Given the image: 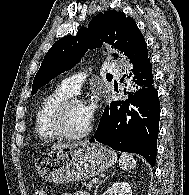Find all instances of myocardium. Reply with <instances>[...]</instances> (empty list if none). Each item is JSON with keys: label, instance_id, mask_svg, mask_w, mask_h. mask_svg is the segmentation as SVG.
<instances>
[{"label": "myocardium", "instance_id": "myocardium-1", "mask_svg": "<svg viewBox=\"0 0 189 195\" xmlns=\"http://www.w3.org/2000/svg\"><path fill=\"white\" fill-rule=\"evenodd\" d=\"M85 101L82 98L71 96L64 101H62L52 113L51 126L56 135L59 138L65 140H80L85 138L90 134L94 126V120L91 118L88 126L78 134L69 133L64 126V119L67 111L76 104H84Z\"/></svg>", "mask_w": 189, "mask_h": 195}]
</instances>
